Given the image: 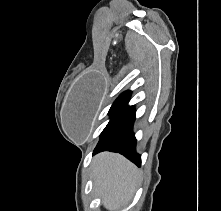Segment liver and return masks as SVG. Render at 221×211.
<instances>
[{"instance_id": "obj_1", "label": "liver", "mask_w": 221, "mask_h": 211, "mask_svg": "<svg viewBox=\"0 0 221 211\" xmlns=\"http://www.w3.org/2000/svg\"><path fill=\"white\" fill-rule=\"evenodd\" d=\"M94 189L108 211H118L131 200L139 177L137 167L117 153L102 152L92 162Z\"/></svg>"}]
</instances>
